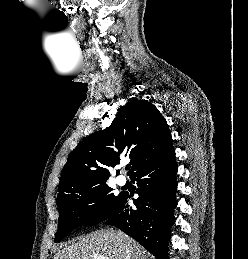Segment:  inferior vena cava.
I'll use <instances>...</instances> for the list:
<instances>
[{
  "mask_svg": "<svg viewBox=\"0 0 248 259\" xmlns=\"http://www.w3.org/2000/svg\"><path fill=\"white\" fill-rule=\"evenodd\" d=\"M127 259H130V255H127Z\"/></svg>",
  "mask_w": 248,
  "mask_h": 259,
  "instance_id": "1",
  "label": "inferior vena cava"
}]
</instances>
